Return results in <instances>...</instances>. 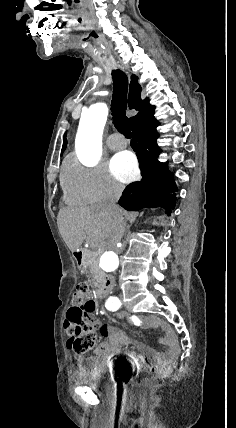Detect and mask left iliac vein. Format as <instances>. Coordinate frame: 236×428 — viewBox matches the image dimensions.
<instances>
[{
  "instance_id": "1",
  "label": "left iliac vein",
  "mask_w": 236,
  "mask_h": 428,
  "mask_svg": "<svg viewBox=\"0 0 236 428\" xmlns=\"http://www.w3.org/2000/svg\"><path fill=\"white\" fill-rule=\"evenodd\" d=\"M119 297H120V300L122 301L123 300L122 294H119Z\"/></svg>"
}]
</instances>
